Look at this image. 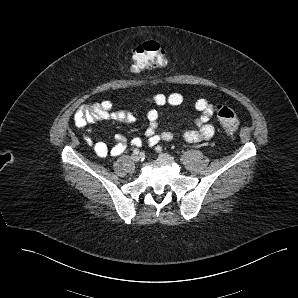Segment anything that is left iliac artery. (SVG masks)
<instances>
[{"instance_id": "left-iliac-artery-1", "label": "left iliac artery", "mask_w": 298, "mask_h": 298, "mask_svg": "<svg viewBox=\"0 0 298 298\" xmlns=\"http://www.w3.org/2000/svg\"><path fill=\"white\" fill-rule=\"evenodd\" d=\"M156 151H157L158 153H161V152H162V147H161V146H157V147H156Z\"/></svg>"}]
</instances>
